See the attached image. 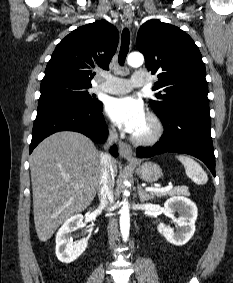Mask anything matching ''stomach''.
<instances>
[{"label": "stomach", "mask_w": 233, "mask_h": 283, "mask_svg": "<svg viewBox=\"0 0 233 283\" xmlns=\"http://www.w3.org/2000/svg\"><path fill=\"white\" fill-rule=\"evenodd\" d=\"M138 176L146 182H156L162 176L160 166L153 162H146L136 168Z\"/></svg>", "instance_id": "0dacf381"}]
</instances>
